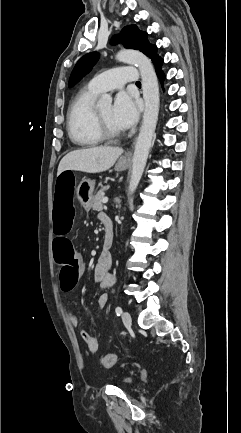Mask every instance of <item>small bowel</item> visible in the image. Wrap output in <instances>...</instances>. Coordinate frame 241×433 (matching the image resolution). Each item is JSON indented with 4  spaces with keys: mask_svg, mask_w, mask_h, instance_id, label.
I'll return each instance as SVG.
<instances>
[{
    "mask_svg": "<svg viewBox=\"0 0 241 433\" xmlns=\"http://www.w3.org/2000/svg\"><path fill=\"white\" fill-rule=\"evenodd\" d=\"M63 172H73V171L65 170ZM55 189H56V184H55ZM104 215L105 214H100L99 216L100 220H102ZM111 267H112L111 256L109 254L105 255L101 253L94 269V280L100 286V288L106 289V288H112L114 286L115 276L110 272ZM97 303L100 309H104L108 304V295L107 294L100 295L98 297ZM69 321L74 327H77L79 325V318L73 313L69 314ZM80 336L82 340L86 343L88 350L91 353H96L99 350V341L94 335L90 334L85 329H82L80 331Z\"/></svg>",
    "mask_w": 241,
    "mask_h": 433,
    "instance_id": "1",
    "label": "small bowel"
}]
</instances>
